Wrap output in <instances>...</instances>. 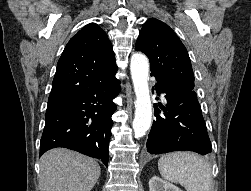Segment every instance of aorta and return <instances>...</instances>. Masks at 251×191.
Segmentation results:
<instances>
[{
  "mask_svg": "<svg viewBox=\"0 0 251 191\" xmlns=\"http://www.w3.org/2000/svg\"><path fill=\"white\" fill-rule=\"evenodd\" d=\"M131 78L136 96L133 129L135 137L148 131L152 119V103L149 94V62L144 54H133L130 62Z\"/></svg>",
  "mask_w": 251,
  "mask_h": 191,
  "instance_id": "762f6f07",
  "label": "aorta"
}]
</instances>
